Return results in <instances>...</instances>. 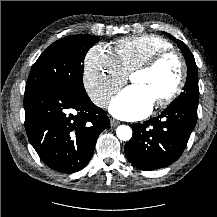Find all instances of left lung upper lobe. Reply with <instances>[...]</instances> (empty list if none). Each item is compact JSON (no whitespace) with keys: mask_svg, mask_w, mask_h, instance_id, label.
<instances>
[{"mask_svg":"<svg viewBox=\"0 0 217 217\" xmlns=\"http://www.w3.org/2000/svg\"><path fill=\"white\" fill-rule=\"evenodd\" d=\"M164 33L167 34L174 42H177V45L181 49L188 67V76L185 86L183 88L184 91L171 105L179 102H190L193 104H198V70L194 56L184 42L180 40L176 41L175 37L166 32Z\"/></svg>","mask_w":217,"mask_h":217,"instance_id":"obj_1","label":"left lung upper lobe"}]
</instances>
